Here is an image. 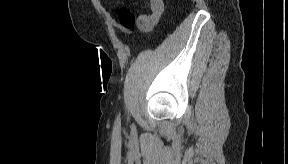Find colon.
<instances>
[{"instance_id":"1","label":"colon","mask_w":288,"mask_h":164,"mask_svg":"<svg viewBox=\"0 0 288 164\" xmlns=\"http://www.w3.org/2000/svg\"><path fill=\"white\" fill-rule=\"evenodd\" d=\"M154 1H156V0H154ZM160 12H161V10H160L159 7L152 6L151 15L154 18H159ZM119 21H120L121 25L124 28H126V29H133V28L136 27V18H135V16L131 12L127 11V10H123V11L120 12Z\"/></svg>"}]
</instances>
